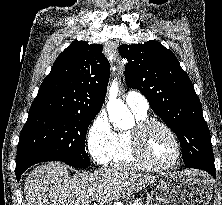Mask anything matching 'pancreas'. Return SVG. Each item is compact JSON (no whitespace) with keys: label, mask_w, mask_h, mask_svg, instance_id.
Instances as JSON below:
<instances>
[{"label":"pancreas","mask_w":222,"mask_h":205,"mask_svg":"<svg viewBox=\"0 0 222 205\" xmlns=\"http://www.w3.org/2000/svg\"><path fill=\"white\" fill-rule=\"evenodd\" d=\"M135 205H143V204H142V202H138V203H136Z\"/></svg>","instance_id":"cf45deb5"}]
</instances>
